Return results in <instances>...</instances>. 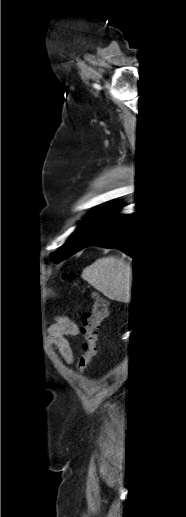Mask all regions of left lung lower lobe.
<instances>
[{
	"instance_id": "left-lung-lower-lobe-1",
	"label": "left lung lower lobe",
	"mask_w": 186,
	"mask_h": 517,
	"mask_svg": "<svg viewBox=\"0 0 186 517\" xmlns=\"http://www.w3.org/2000/svg\"><path fill=\"white\" fill-rule=\"evenodd\" d=\"M119 205L115 204L106 214L95 224L90 239L83 245H98L106 248H117L137 259L130 218L128 215H119L115 212ZM80 249V250H81Z\"/></svg>"
}]
</instances>
